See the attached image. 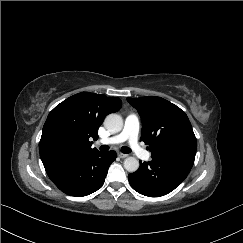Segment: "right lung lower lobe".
<instances>
[{
    "label": "right lung lower lobe",
    "mask_w": 243,
    "mask_h": 243,
    "mask_svg": "<svg viewBox=\"0 0 243 243\" xmlns=\"http://www.w3.org/2000/svg\"><path fill=\"white\" fill-rule=\"evenodd\" d=\"M116 152H94L87 156L45 167L52 182L64 193L82 197L97 191L104 183Z\"/></svg>",
    "instance_id": "obj_1"
}]
</instances>
